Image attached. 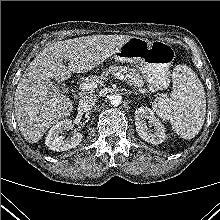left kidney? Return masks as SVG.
<instances>
[{"label": "left kidney", "instance_id": "obj_1", "mask_svg": "<svg viewBox=\"0 0 220 220\" xmlns=\"http://www.w3.org/2000/svg\"><path fill=\"white\" fill-rule=\"evenodd\" d=\"M147 121L154 131L148 128ZM135 125L138 135L149 143L161 144L166 138L164 126L148 107H140L135 111Z\"/></svg>", "mask_w": 220, "mask_h": 220}]
</instances>
